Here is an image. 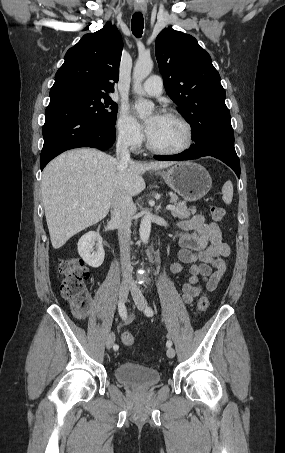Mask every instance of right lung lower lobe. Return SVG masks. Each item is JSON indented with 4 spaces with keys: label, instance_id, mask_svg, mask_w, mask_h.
<instances>
[{
    "label": "right lung lower lobe",
    "instance_id": "98d812e1",
    "mask_svg": "<svg viewBox=\"0 0 285 453\" xmlns=\"http://www.w3.org/2000/svg\"><path fill=\"white\" fill-rule=\"evenodd\" d=\"M115 137V130L99 128L72 104L60 99L50 100L43 126L41 170L54 157L69 149L91 147L106 150L113 145Z\"/></svg>",
    "mask_w": 285,
    "mask_h": 453
}]
</instances>
